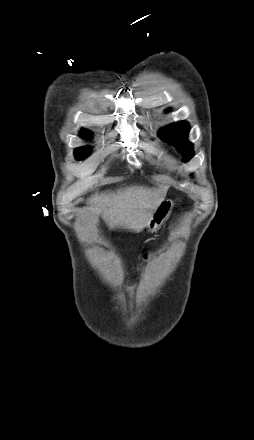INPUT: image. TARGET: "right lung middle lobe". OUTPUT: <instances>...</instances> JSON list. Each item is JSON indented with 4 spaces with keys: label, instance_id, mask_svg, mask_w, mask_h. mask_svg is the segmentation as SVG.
<instances>
[{
    "label": "right lung middle lobe",
    "instance_id": "dd1d6c3e",
    "mask_svg": "<svg viewBox=\"0 0 254 440\" xmlns=\"http://www.w3.org/2000/svg\"><path fill=\"white\" fill-rule=\"evenodd\" d=\"M80 135L83 138H88L91 135V133L88 131H83L80 133ZM90 151H91V149L89 147H79L75 150V156L78 160H81V159L87 157L89 155Z\"/></svg>",
    "mask_w": 254,
    "mask_h": 440
}]
</instances>
